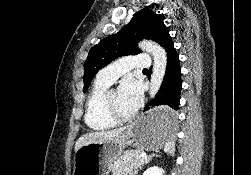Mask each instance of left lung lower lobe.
<instances>
[{
  "mask_svg": "<svg viewBox=\"0 0 251 175\" xmlns=\"http://www.w3.org/2000/svg\"><path fill=\"white\" fill-rule=\"evenodd\" d=\"M160 45L166 49L168 58L165 76L155 99L144 109L149 111L146 123L152 126H165L177 121L176 110L179 107L182 86L179 57L169 32L165 34Z\"/></svg>",
  "mask_w": 251,
  "mask_h": 175,
  "instance_id": "left-lung-lower-lobe-1",
  "label": "left lung lower lobe"
}]
</instances>
